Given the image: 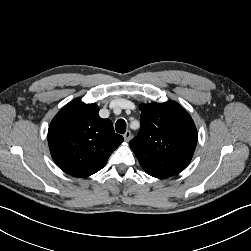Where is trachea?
<instances>
[{"mask_svg": "<svg viewBox=\"0 0 251 251\" xmlns=\"http://www.w3.org/2000/svg\"><path fill=\"white\" fill-rule=\"evenodd\" d=\"M115 129L117 133L124 134L126 131V122L123 119H118L115 124Z\"/></svg>", "mask_w": 251, "mask_h": 251, "instance_id": "3493384b", "label": "trachea"}]
</instances>
